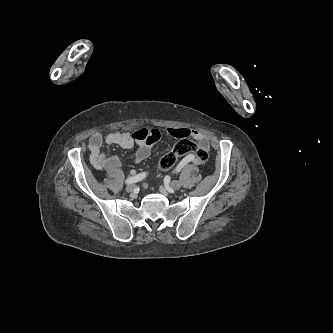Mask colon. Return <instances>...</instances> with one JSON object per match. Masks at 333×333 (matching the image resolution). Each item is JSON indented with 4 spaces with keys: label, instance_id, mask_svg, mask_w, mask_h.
<instances>
[{
    "label": "colon",
    "instance_id": "colon-1",
    "mask_svg": "<svg viewBox=\"0 0 333 333\" xmlns=\"http://www.w3.org/2000/svg\"><path fill=\"white\" fill-rule=\"evenodd\" d=\"M184 155H193L195 162L198 164L205 163L209 156L207 149L197 146L189 139L183 138L171 152L162 157L159 163L160 169L164 172L170 170L176 164L178 158Z\"/></svg>",
    "mask_w": 333,
    "mask_h": 333
}]
</instances>
